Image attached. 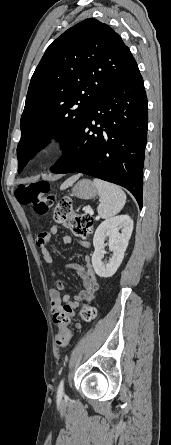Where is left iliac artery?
<instances>
[{"mask_svg": "<svg viewBox=\"0 0 171 445\" xmlns=\"http://www.w3.org/2000/svg\"><path fill=\"white\" fill-rule=\"evenodd\" d=\"M64 390V380H61L59 386H58V392L62 393Z\"/></svg>", "mask_w": 171, "mask_h": 445, "instance_id": "44dca946", "label": "left iliac artery"}]
</instances>
